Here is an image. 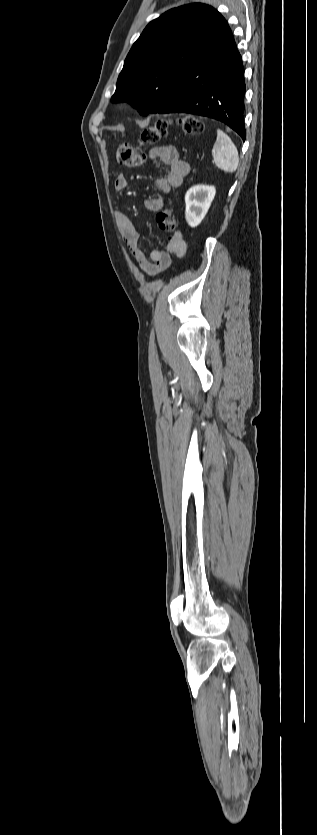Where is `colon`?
<instances>
[{
  "instance_id": "colon-1",
  "label": "colon",
  "mask_w": 317,
  "mask_h": 835,
  "mask_svg": "<svg viewBox=\"0 0 317 835\" xmlns=\"http://www.w3.org/2000/svg\"><path fill=\"white\" fill-rule=\"evenodd\" d=\"M182 130L188 134H197L202 130V124L197 119L186 116L179 121ZM169 123L161 120L143 130L139 145L134 146L127 142H120L117 146V160L127 167H136L145 159L144 147L156 144L168 133ZM158 228L169 235L173 234L177 227V220L171 210L163 209L156 215Z\"/></svg>"
}]
</instances>
